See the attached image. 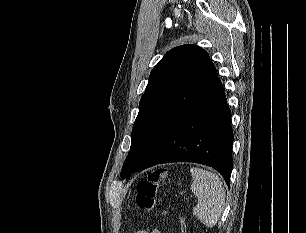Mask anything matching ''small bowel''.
<instances>
[{
    "instance_id": "obj_1",
    "label": "small bowel",
    "mask_w": 306,
    "mask_h": 233,
    "mask_svg": "<svg viewBox=\"0 0 306 233\" xmlns=\"http://www.w3.org/2000/svg\"><path fill=\"white\" fill-rule=\"evenodd\" d=\"M137 233H160L159 229H153L151 231H147V230H140Z\"/></svg>"
}]
</instances>
